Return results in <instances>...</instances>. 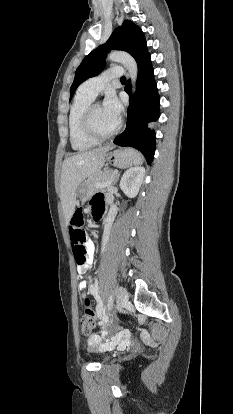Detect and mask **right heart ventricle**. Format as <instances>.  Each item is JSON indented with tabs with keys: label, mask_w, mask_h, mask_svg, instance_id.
I'll return each mask as SVG.
<instances>
[{
	"label": "right heart ventricle",
	"mask_w": 233,
	"mask_h": 414,
	"mask_svg": "<svg viewBox=\"0 0 233 414\" xmlns=\"http://www.w3.org/2000/svg\"><path fill=\"white\" fill-rule=\"evenodd\" d=\"M93 97L80 89L76 93L68 114V132L71 147L77 151H84L94 147L97 142L84 135L81 129V117Z\"/></svg>",
	"instance_id": "1"
}]
</instances>
